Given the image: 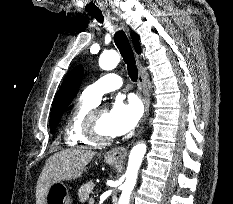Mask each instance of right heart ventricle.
Masks as SVG:
<instances>
[{"label":"right heart ventricle","mask_w":233,"mask_h":204,"mask_svg":"<svg viewBox=\"0 0 233 204\" xmlns=\"http://www.w3.org/2000/svg\"><path fill=\"white\" fill-rule=\"evenodd\" d=\"M96 104L85 97H80L69 112L64 126V138L70 147H91L96 143L85 134V119Z\"/></svg>","instance_id":"obj_1"}]
</instances>
